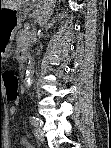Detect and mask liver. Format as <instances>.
<instances>
[{
  "instance_id": "obj_1",
  "label": "liver",
  "mask_w": 111,
  "mask_h": 148,
  "mask_svg": "<svg viewBox=\"0 0 111 148\" xmlns=\"http://www.w3.org/2000/svg\"><path fill=\"white\" fill-rule=\"evenodd\" d=\"M24 2H26V0H2V8L17 9Z\"/></svg>"
}]
</instances>
